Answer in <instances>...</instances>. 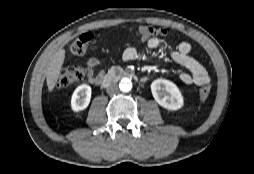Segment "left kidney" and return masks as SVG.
I'll return each instance as SVG.
<instances>
[{
    "label": "left kidney",
    "instance_id": "1",
    "mask_svg": "<svg viewBox=\"0 0 254 174\" xmlns=\"http://www.w3.org/2000/svg\"><path fill=\"white\" fill-rule=\"evenodd\" d=\"M151 92L155 101L165 109L178 110L184 104L181 91L169 80H154L151 84Z\"/></svg>",
    "mask_w": 254,
    "mask_h": 174
}]
</instances>
